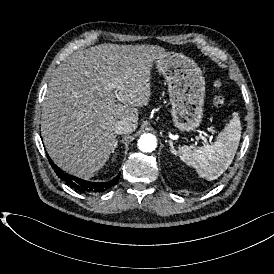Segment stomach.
Returning <instances> with one entry per match:
<instances>
[{"mask_svg": "<svg viewBox=\"0 0 274 274\" xmlns=\"http://www.w3.org/2000/svg\"><path fill=\"white\" fill-rule=\"evenodd\" d=\"M157 67L168 85L173 125L180 133L196 130L204 114L206 82L202 70L180 53L159 58Z\"/></svg>", "mask_w": 274, "mask_h": 274, "instance_id": "obj_1", "label": "stomach"}]
</instances>
